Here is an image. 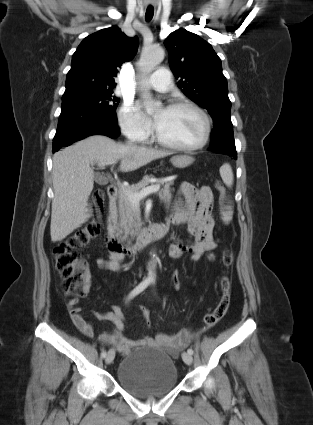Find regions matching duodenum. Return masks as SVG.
<instances>
[{
	"mask_svg": "<svg viewBox=\"0 0 313 425\" xmlns=\"http://www.w3.org/2000/svg\"><path fill=\"white\" fill-rule=\"evenodd\" d=\"M117 193L118 190L115 185L108 186V212L104 232V243L111 252L121 255H133L152 240L161 239L166 233V228L162 225L152 226L151 228L140 233L137 241L134 244L125 245L115 231V220L117 217Z\"/></svg>",
	"mask_w": 313,
	"mask_h": 425,
	"instance_id": "1",
	"label": "duodenum"
}]
</instances>
